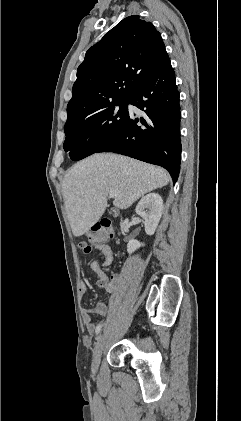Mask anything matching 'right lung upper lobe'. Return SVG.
Wrapping results in <instances>:
<instances>
[{
    "label": "right lung upper lobe",
    "mask_w": 241,
    "mask_h": 421,
    "mask_svg": "<svg viewBox=\"0 0 241 421\" xmlns=\"http://www.w3.org/2000/svg\"><path fill=\"white\" fill-rule=\"evenodd\" d=\"M166 57L162 37L151 22L137 15L123 19L86 52L64 127L128 100Z\"/></svg>",
    "instance_id": "1"
}]
</instances>
